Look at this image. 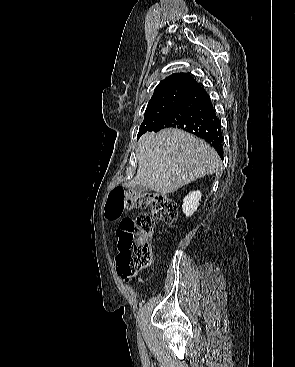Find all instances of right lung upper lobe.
Returning a JSON list of instances; mask_svg holds the SVG:
<instances>
[{
    "mask_svg": "<svg viewBox=\"0 0 295 367\" xmlns=\"http://www.w3.org/2000/svg\"><path fill=\"white\" fill-rule=\"evenodd\" d=\"M172 88H187L197 91L201 86L189 74L175 73L162 80L155 88L154 93Z\"/></svg>",
    "mask_w": 295,
    "mask_h": 367,
    "instance_id": "right-lung-upper-lobe-1",
    "label": "right lung upper lobe"
}]
</instances>
